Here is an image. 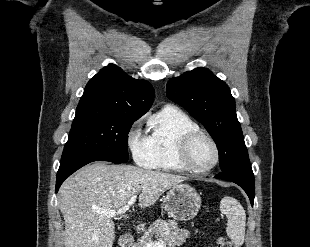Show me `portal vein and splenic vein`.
<instances>
[{
	"label": "portal vein and splenic vein",
	"mask_w": 310,
	"mask_h": 247,
	"mask_svg": "<svg viewBox=\"0 0 310 247\" xmlns=\"http://www.w3.org/2000/svg\"><path fill=\"white\" fill-rule=\"evenodd\" d=\"M136 198L137 196H132L129 201L127 202V204L125 206H123L122 208L118 209V210H97L98 213L108 217V218H114L117 216H122L123 214L126 213V211L129 210V208L131 206L134 205V203L136 202ZM146 247H166L165 243L162 241H155V242H149Z\"/></svg>",
	"instance_id": "18ae733b"
}]
</instances>
